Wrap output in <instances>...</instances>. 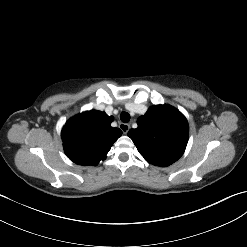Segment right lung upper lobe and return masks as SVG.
<instances>
[{
	"label": "right lung upper lobe",
	"mask_w": 247,
	"mask_h": 247,
	"mask_svg": "<svg viewBox=\"0 0 247 247\" xmlns=\"http://www.w3.org/2000/svg\"><path fill=\"white\" fill-rule=\"evenodd\" d=\"M113 119L104 112L90 110L68 120L61 132L66 156L83 166L104 160L122 135L120 129L111 127Z\"/></svg>",
	"instance_id": "cb5924a9"
}]
</instances>
